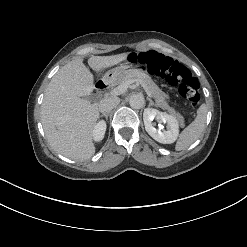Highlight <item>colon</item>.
Returning <instances> with one entry per match:
<instances>
[{
	"label": "colon",
	"instance_id": "1",
	"mask_svg": "<svg viewBox=\"0 0 247 247\" xmlns=\"http://www.w3.org/2000/svg\"><path fill=\"white\" fill-rule=\"evenodd\" d=\"M130 62L146 66L152 73L164 77L170 85L178 86L180 95L190 105L197 106L199 104V81L192 75L188 67L156 51L132 54Z\"/></svg>",
	"mask_w": 247,
	"mask_h": 247
}]
</instances>
